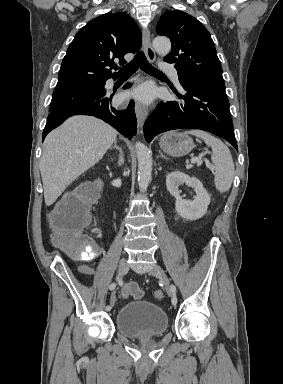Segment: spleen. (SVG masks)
Here are the masks:
<instances>
[{
  "mask_svg": "<svg viewBox=\"0 0 283 384\" xmlns=\"http://www.w3.org/2000/svg\"><path fill=\"white\" fill-rule=\"evenodd\" d=\"M184 134H192V136H197L204 140L206 146L212 148L211 160L215 168V178L214 184L216 190L220 194L228 192L231 188V184L234 178V162L232 160L231 152L228 150L227 146L217 140L214 136H210L207 132H202V130H191V132H184Z\"/></svg>",
  "mask_w": 283,
  "mask_h": 384,
  "instance_id": "obj_1",
  "label": "spleen"
}]
</instances>
